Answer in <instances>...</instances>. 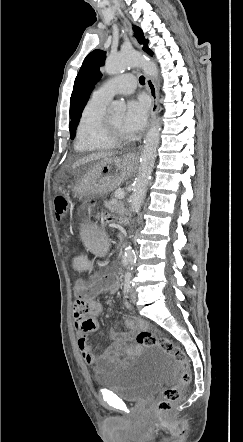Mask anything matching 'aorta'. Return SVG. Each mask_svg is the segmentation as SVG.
<instances>
[{
    "label": "aorta",
    "mask_w": 243,
    "mask_h": 442,
    "mask_svg": "<svg viewBox=\"0 0 243 442\" xmlns=\"http://www.w3.org/2000/svg\"><path fill=\"white\" fill-rule=\"evenodd\" d=\"M137 67L142 68L147 75L152 77H157L158 75L156 64L146 56L138 54L135 51L124 52L108 57L104 65V71L108 75H117L128 68ZM111 108L113 111H122L125 109V104L121 101H116L112 103ZM160 130L159 118H156L144 139V145L141 150L139 172L135 179L130 198V207L133 213L140 211L146 195L160 141ZM135 259L134 250L130 246H127L122 252L123 262L132 266Z\"/></svg>",
    "instance_id": "aorta-1"
}]
</instances>
